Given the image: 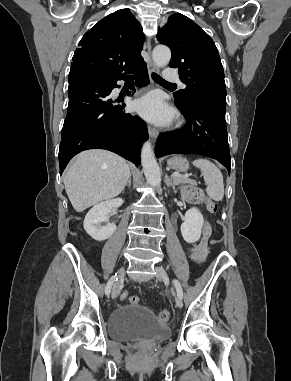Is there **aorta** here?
<instances>
[{"mask_svg":"<svg viewBox=\"0 0 291 381\" xmlns=\"http://www.w3.org/2000/svg\"><path fill=\"white\" fill-rule=\"evenodd\" d=\"M152 57L155 65L162 68L168 65L171 59V51L167 46L158 45L154 48ZM141 163L147 182L153 187H158L161 181L160 169L150 141L145 142L142 146Z\"/></svg>","mask_w":291,"mask_h":381,"instance_id":"762f6f07","label":"aorta"}]
</instances>
